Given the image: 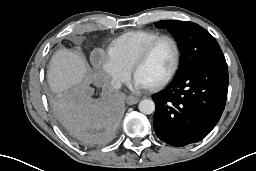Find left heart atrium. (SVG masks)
<instances>
[{"mask_svg":"<svg viewBox=\"0 0 256 171\" xmlns=\"http://www.w3.org/2000/svg\"><path fill=\"white\" fill-rule=\"evenodd\" d=\"M135 85L138 88H147L148 86L146 84H144L142 81H140L139 79L135 78L134 80Z\"/></svg>","mask_w":256,"mask_h":171,"instance_id":"1","label":"left heart atrium"}]
</instances>
